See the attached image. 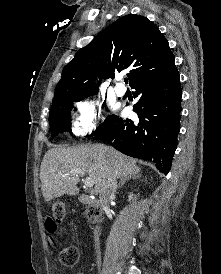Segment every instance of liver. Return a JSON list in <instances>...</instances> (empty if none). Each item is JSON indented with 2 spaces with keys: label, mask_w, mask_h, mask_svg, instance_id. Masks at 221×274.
Instances as JSON below:
<instances>
[{
  "label": "liver",
  "mask_w": 221,
  "mask_h": 274,
  "mask_svg": "<svg viewBox=\"0 0 221 274\" xmlns=\"http://www.w3.org/2000/svg\"><path fill=\"white\" fill-rule=\"evenodd\" d=\"M75 170L87 173L94 180L96 194H100L110 173L124 178L140 172L135 160L103 144L52 148L44 155L40 167L41 190L46 202L79 193V175H70Z\"/></svg>",
  "instance_id": "1"
}]
</instances>
